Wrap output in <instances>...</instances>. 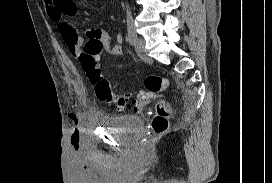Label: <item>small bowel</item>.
<instances>
[{"instance_id": "obj_1", "label": "small bowel", "mask_w": 272, "mask_h": 183, "mask_svg": "<svg viewBox=\"0 0 272 183\" xmlns=\"http://www.w3.org/2000/svg\"><path fill=\"white\" fill-rule=\"evenodd\" d=\"M43 2L49 18L58 25L70 53L75 57H79L84 38L79 34L77 28L64 17L65 15L71 16L76 12L73 0H43ZM85 34L88 41H99L110 53L115 55L122 53L120 43L123 37L121 34L116 35V43H113L109 32L102 28H89Z\"/></svg>"}]
</instances>
